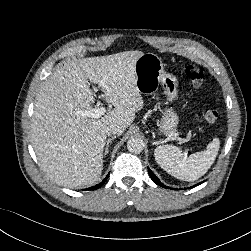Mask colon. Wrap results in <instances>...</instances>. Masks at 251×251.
Masks as SVG:
<instances>
[{"mask_svg":"<svg viewBox=\"0 0 251 251\" xmlns=\"http://www.w3.org/2000/svg\"><path fill=\"white\" fill-rule=\"evenodd\" d=\"M185 75L196 87H200L204 81L205 71L202 67L188 65L184 69ZM203 119L207 123H214L218 119V112L213 108H206L203 111Z\"/></svg>","mask_w":251,"mask_h":251,"instance_id":"5ec220e1","label":"colon"}]
</instances>
